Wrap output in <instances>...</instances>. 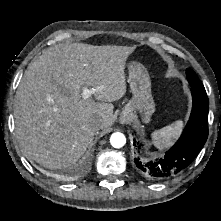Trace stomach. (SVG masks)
<instances>
[{
    "label": "stomach",
    "instance_id": "0dacf381",
    "mask_svg": "<svg viewBox=\"0 0 221 221\" xmlns=\"http://www.w3.org/2000/svg\"><path fill=\"white\" fill-rule=\"evenodd\" d=\"M128 83L132 99L123 108L120 120L125 121L130 115L139 112L142 120L149 123L155 112V103L151 94V80L146 68L138 62L129 65Z\"/></svg>",
    "mask_w": 221,
    "mask_h": 221
}]
</instances>
